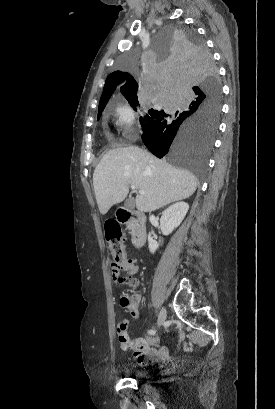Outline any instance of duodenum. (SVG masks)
<instances>
[{"instance_id":"410a0bca","label":"duodenum","mask_w":275,"mask_h":409,"mask_svg":"<svg viewBox=\"0 0 275 409\" xmlns=\"http://www.w3.org/2000/svg\"><path fill=\"white\" fill-rule=\"evenodd\" d=\"M117 219L122 224H129L132 228V243L135 247L141 248L146 241L147 228L145 216L138 211L120 209Z\"/></svg>"}]
</instances>
